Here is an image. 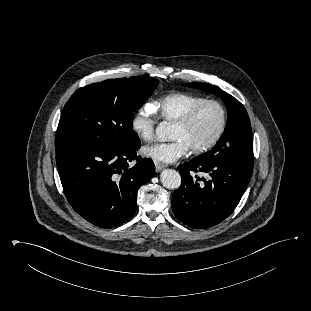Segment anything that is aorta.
<instances>
[{
  "mask_svg": "<svg viewBox=\"0 0 311 311\" xmlns=\"http://www.w3.org/2000/svg\"><path fill=\"white\" fill-rule=\"evenodd\" d=\"M156 136L160 141H167L171 138V127L167 122H161L156 127ZM160 180L167 189H178L181 185L180 174L173 169H165L161 172Z\"/></svg>",
  "mask_w": 311,
  "mask_h": 311,
  "instance_id": "1",
  "label": "aorta"
}]
</instances>
